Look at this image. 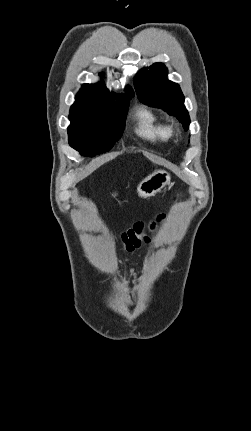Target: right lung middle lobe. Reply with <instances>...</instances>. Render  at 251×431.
Listing matches in <instances>:
<instances>
[{"label": "right lung middle lobe", "instance_id": "obj_1", "mask_svg": "<svg viewBox=\"0 0 251 431\" xmlns=\"http://www.w3.org/2000/svg\"><path fill=\"white\" fill-rule=\"evenodd\" d=\"M129 100L115 102L104 96L78 93L69 114L70 146L90 157L110 150L124 129Z\"/></svg>", "mask_w": 251, "mask_h": 431}]
</instances>
